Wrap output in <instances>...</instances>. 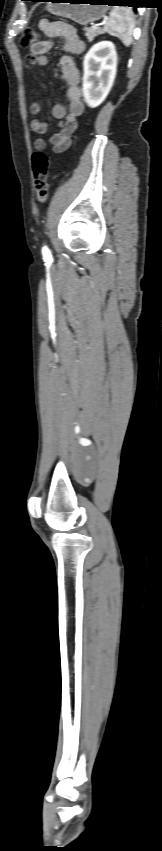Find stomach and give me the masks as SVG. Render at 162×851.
I'll use <instances>...</instances> for the list:
<instances>
[{"label":"stomach","instance_id":"stomach-1","mask_svg":"<svg viewBox=\"0 0 162 851\" xmlns=\"http://www.w3.org/2000/svg\"><path fill=\"white\" fill-rule=\"evenodd\" d=\"M47 10L81 25L101 19L106 13L107 0H50Z\"/></svg>","mask_w":162,"mask_h":851}]
</instances>
